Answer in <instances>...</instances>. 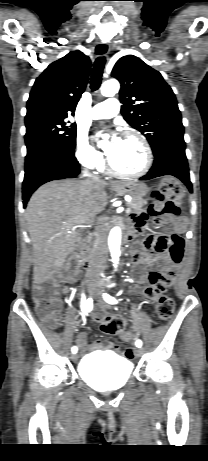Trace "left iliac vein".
<instances>
[{
    "label": "left iliac vein",
    "mask_w": 208,
    "mask_h": 461,
    "mask_svg": "<svg viewBox=\"0 0 208 461\" xmlns=\"http://www.w3.org/2000/svg\"><path fill=\"white\" fill-rule=\"evenodd\" d=\"M97 301H98L101 305H103V306L109 308V306L100 298L99 293L97 294ZM136 355L139 356V357L142 356V355H143V349H142V348H137V350H136Z\"/></svg>",
    "instance_id": "left-iliac-vein-1"
}]
</instances>
